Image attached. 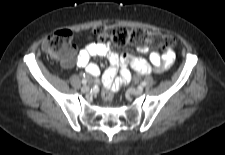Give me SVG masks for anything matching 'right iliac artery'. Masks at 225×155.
<instances>
[{
  "label": "right iliac artery",
  "instance_id": "82829eb1",
  "mask_svg": "<svg viewBox=\"0 0 225 155\" xmlns=\"http://www.w3.org/2000/svg\"><path fill=\"white\" fill-rule=\"evenodd\" d=\"M82 84H83V85H86V84H87V80H86V79H83V80H82Z\"/></svg>",
  "mask_w": 225,
  "mask_h": 155
}]
</instances>
